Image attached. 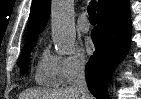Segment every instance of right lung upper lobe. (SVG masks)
<instances>
[{"mask_svg": "<svg viewBox=\"0 0 141 99\" xmlns=\"http://www.w3.org/2000/svg\"><path fill=\"white\" fill-rule=\"evenodd\" d=\"M108 0H99L98 10ZM50 0H33L29 15L26 42L36 43L38 34L44 29L50 15Z\"/></svg>", "mask_w": 141, "mask_h": 99, "instance_id": "1", "label": "right lung upper lobe"}]
</instances>
